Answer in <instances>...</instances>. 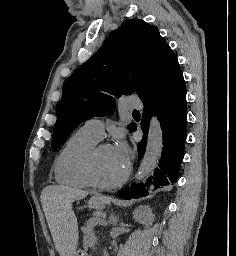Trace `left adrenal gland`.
Masks as SVG:
<instances>
[{
    "instance_id": "a2214340",
    "label": "left adrenal gland",
    "mask_w": 236,
    "mask_h": 256,
    "mask_svg": "<svg viewBox=\"0 0 236 256\" xmlns=\"http://www.w3.org/2000/svg\"><path fill=\"white\" fill-rule=\"evenodd\" d=\"M109 222H110V224H113V226H116V224L118 222V218H116V216H114V212H112V214H110Z\"/></svg>"
}]
</instances>
